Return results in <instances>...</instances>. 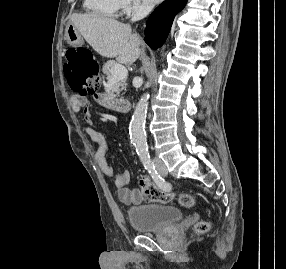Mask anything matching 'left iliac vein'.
Here are the masks:
<instances>
[{
  "instance_id": "1",
  "label": "left iliac vein",
  "mask_w": 286,
  "mask_h": 269,
  "mask_svg": "<svg viewBox=\"0 0 286 269\" xmlns=\"http://www.w3.org/2000/svg\"><path fill=\"white\" fill-rule=\"evenodd\" d=\"M155 162H156L157 169H158L159 173H160L162 176L167 175V169H166V167L163 165V163L161 162V160H160V159H156Z\"/></svg>"
}]
</instances>
